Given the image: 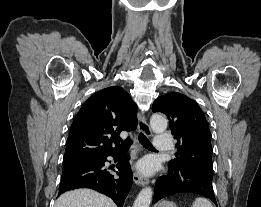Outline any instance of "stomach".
Masks as SVG:
<instances>
[{
    "mask_svg": "<svg viewBox=\"0 0 261 207\" xmlns=\"http://www.w3.org/2000/svg\"><path fill=\"white\" fill-rule=\"evenodd\" d=\"M158 207H177L175 203L170 201H162Z\"/></svg>",
    "mask_w": 261,
    "mask_h": 207,
    "instance_id": "1",
    "label": "stomach"
}]
</instances>
